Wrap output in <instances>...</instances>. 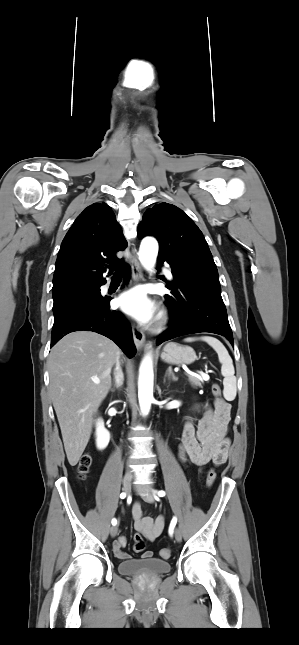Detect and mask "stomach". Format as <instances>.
<instances>
[{
  "instance_id": "obj_1",
  "label": "stomach",
  "mask_w": 299,
  "mask_h": 645,
  "mask_svg": "<svg viewBox=\"0 0 299 645\" xmlns=\"http://www.w3.org/2000/svg\"><path fill=\"white\" fill-rule=\"evenodd\" d=\"M161 359L168 364H191L196 360V354L189 346L170 342L163 348Z\"/></svg>"
}]
</instances>
